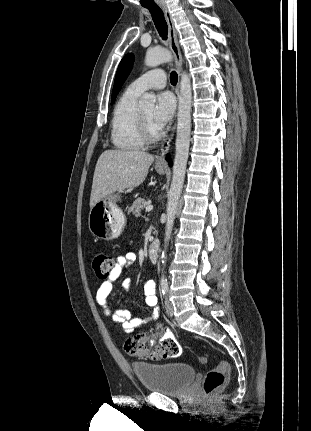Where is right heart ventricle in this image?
Returning <instances> with one entry per match:
<instances>
[{
    "label": "right heart ventricle",
    "mask_w": 311,
    "mask_h": 431,
    "mask_svg": "<svg viewBox=\"0 0 311 431\" xmlns=\"http://www.w3.org/2000/svg\"><path fill=\"white\" fill-rule=\"evenodd\" d=\"M139 95L127 88L114 106L110 137L113 146L118 150L136 151L144 145L139 138L137 125Z\"/></svg>",
    "instance_id": "1"
}]
</instances>
